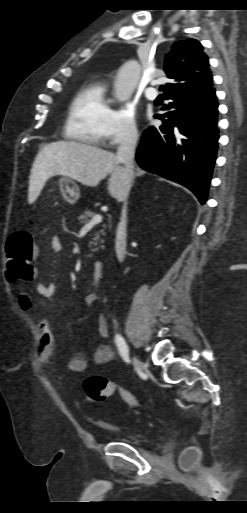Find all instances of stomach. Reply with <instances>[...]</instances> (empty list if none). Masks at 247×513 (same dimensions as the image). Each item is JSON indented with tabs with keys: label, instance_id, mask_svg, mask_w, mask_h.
<instances>
[{
	"label": "stomach",
	"instance_id": "obj_1",
	"mask_svg": "<svg viewBox=\"0 0 247 513\" xmlns=\"http://www.w3.org/2000/svg\"><path fill=\"white\" fill-rule=\"evenodd\" d=\"M60 188L68 202H75L79 198V186L70 177L60 179Z\"/></svg>",
	"mask_w": 247,
	"mask_h": 513
}]
</instances>
